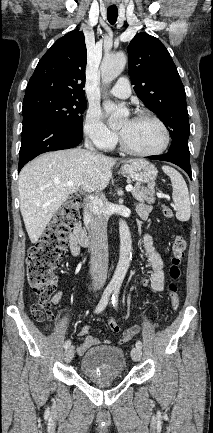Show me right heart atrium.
Segmentation results:
<instances>
[{"instance_id": "obj_1", "label": "right heart atrium", "mask_w": 213, "mask_h": 433, "mask_svg": "<svg viewBox=\"0 0 213 433\" xmlns=\"http://www.w3.org/2000/svg\"><path fill=\"white\" fill-rule=\"evenodd\" d=\"M83 131L85 136L100 149L112 148L117 135L102 121L101 115L95 110H89L85 116Z\"/></svg>"}]
</instances>
